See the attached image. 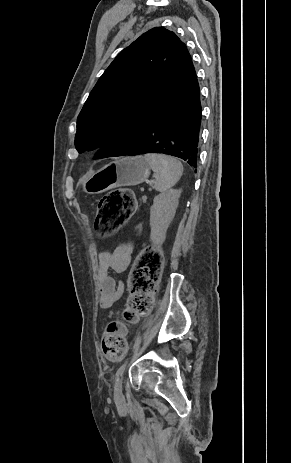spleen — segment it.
Wrapping results in <instances>:
<instances>
[{
  "label": "spleen",
  "mask_w": 291,
  "mask_h": 463,
  "mask_svg": "<svg viewBox=\"0 0 291 463\" xmlns=\"http://www.w3.org/2000/svg\"><path fill=\"white\" fill-rule=\"evenodd\" d=\"M144 158L156 176L157 191H167L181 178L183 165L177 159L162 154H146Z\"/></svg>",
  "instance_id": "3e777b00"
}]
</instances>
